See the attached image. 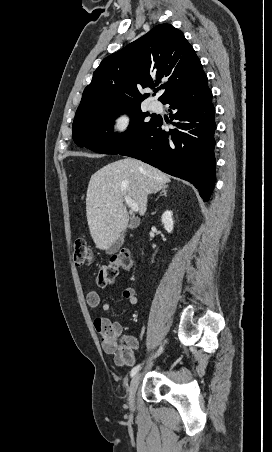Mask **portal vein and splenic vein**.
Returning <instances> with one entry per match:
<instances>
[{
  "instance_id": "portal-vein-and-splenic-vein-1",
  "label": "portal vein and splenic vein",
  "mask_w": 272,
  "mask_h": 452,
  "mask_svg": "<svg viewBox=\"0 0 272 452\" xmlns=\"http://www.w3.org/2000/svg\"><path fill=\"white\" fill-rule=\"evenodd\" d=\"M125 203L130 207V209L134 212H137L139 210L138 204L132 200L130 197L125 196L124 197Z\"/></svg>"
}]
</instances>
